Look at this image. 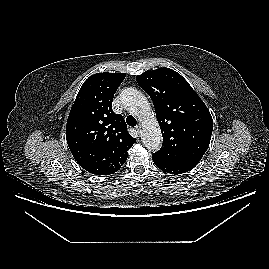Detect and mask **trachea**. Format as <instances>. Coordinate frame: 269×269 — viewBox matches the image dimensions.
Returning a JSON list of instances; mask_svg holds the SVG:
<instances>
[{
  "label": "trachea",
  "instance_id": "1",
  "mask_svg": "<svg viewBox=\"0 0 269 269\" xmlns=\"http://www.w3.org/2000/svg\"><path fill=\"white\" fill-rule=\"evenodd\" d=\"M126 122H127V124H128L129 126H131V127H134V126H136V124H137L136 119H135L132 115L127 116V118H126Z\"/></svg>",
  "mask_w": 269,
  "mask_h": 269
}]
</instances>
